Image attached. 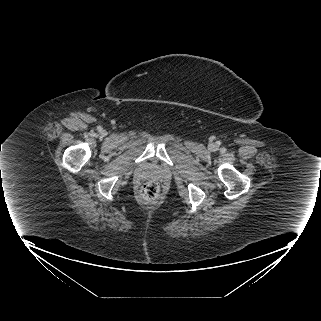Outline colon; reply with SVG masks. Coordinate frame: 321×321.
Listing matches in <instances>:
<instances>
[{"instance_id": "5ec220e1", "label": "colon", "mask_w": 321, "mask_h": 321, "mask_svg": "<svg viewBox=\"0 0 321 321\" xmlns=\"http://www.w3.org/2000/svg\"><path fill=\"white\" fill-rule=\"evenodd\" d=\"M160 194V186L156 181L146 182L141 188V196L146 201H155Z\"/></svg>"}]
</instances>
